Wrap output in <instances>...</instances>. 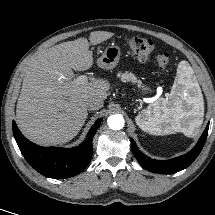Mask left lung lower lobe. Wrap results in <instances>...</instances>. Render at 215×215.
<instances>
[{"mask_svg":"<svg viewBox=\"0 0 215 215\" xmlns=\"http://www.w3.org/2000/svg\"><path fill=\"white\" fill-rule=\"evenodd\" d=\"M208 128H209V124L207 125L205 131L203 132L197 144L191 151H189L188 153L182 156H179L170 160L162 161V160L151 159L150 157L143 154L137 148L134 140L131 138L132 150L136 159L138 160V162L143 168L160 174H174L178 171H181L187 168L197 158L206 141Z\"/></svg>","mask_w":215,"mask_h":215,"instance_id":"0a47b994","label":"left lung lower lobe"}]
</instances>
